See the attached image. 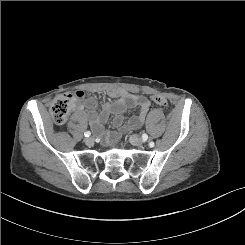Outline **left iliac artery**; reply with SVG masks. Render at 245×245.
Wrapping results in <instances>:
<instances>
[{
    "label": "left iliac artery",
    "instance_id": "obj_1",
    "mask_svg": "<svg viewBox=\"0 0 245 245\" xmlns=\"http://www.w3.org/2000/svg\"><path fill=\"white\" fill-rule=\"evenodd\" d=\"M142 138H143L144 141H146L147 138H148V136H147L146 134H144V135L142 136ZM149 146H150V147H153V146H154V142H152V141L149 142Z\"/></svg>",
    "mask_w": 245,
    "mask_h": 245
}]
</instances>
